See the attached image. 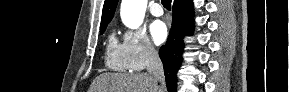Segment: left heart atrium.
Instances as JSON below:
<instances>
[{
	"mask_svg": "<svg viewBox=\"0 0 289 92\" xmlns=\"http://www.w3.org/2000/svg\"><path fill=\"white\" fill-rule=\"evenodd\" d=\"M150 33L155 44L163 43L168 35L167 27L164 22L160 20L154 21L150 26Z\"/></svg>",
	"mask_w": 289,
	"mask_h": 92,
	"instance_id": "39dd6f15",
	"label": "left heart atrium"
}]
</instances>
